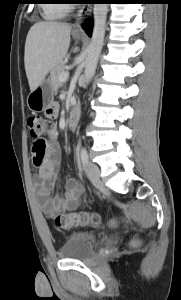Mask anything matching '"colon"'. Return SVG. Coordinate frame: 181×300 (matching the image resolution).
I'll return each mask as SVG.
<instances>
[{"label": "colon", "instance_id": "obj_1", "mask_svg": "<svg viewBox=\"0 0 181 300\" xmlns=\"http://www.w3.org/2000/svg\"><path fill=\"white\" fill-rule=\"evenodd\" d=\"M27 127L29 134L33 139L32 150L37 153H43L46 149V140L44 139V133L48 128L47 120L41 116H30L27 119ZM100 223V216L98 214L88 213H63L54 218V224L63 229H69L76 226H96ZM116 221L110 222L111 226H115Z\"/></svg>", "mask_w": 181, "mask_h": 300}]
</instances>
